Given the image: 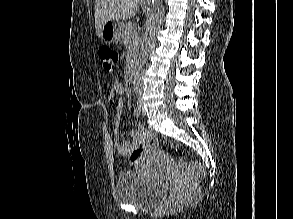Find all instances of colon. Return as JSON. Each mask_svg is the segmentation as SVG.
<instances>
[{"label": "colon", "mask_w": 293, "mask_h": 219, "mask_svg": "<svg viewBox=\"0 0 293 219\" xmlns=\"http://www.w3.org/2000/svg\"><path fill=\"white\" fill-rule=\"evenodd\" d=\"M100 57L102 59L104 69L108 72H112L118 63V59H119L118 53L109 47H103L100 50ZM157 146H158L157 135L154 132L147 131L145 136V141L143 142L142 145H140L139 147L131 151L129 158L132 162H137L144 155L154 150ZM178 164L181 168L189 172L195 173L199 178L206 177V171L202 166L186 158H183V157L179 158Z\"/></svg>", "instance_id": "1"}]
</instances>
